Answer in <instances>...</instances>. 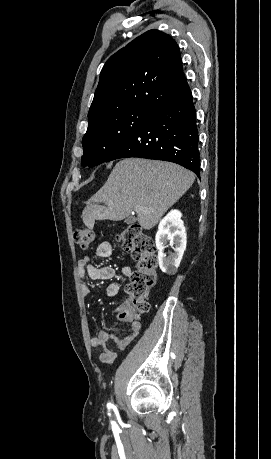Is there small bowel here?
I'll return each instance as SVG.
<instances>
[{
	"label": "small bowel",
	"mask_w": 271,
	"mask_h": 459,
	"mask_svg": "<svg viewBox=\"0 0 271 459\" xmlns=\"http://www.w3.org/2000/svg\"><path fill=\"white\" fill-rule=\"evenodd\" d=\"M95 255L98 258L106 259L112 255V246L109 242L103 241L98 244L95 250ZM78 272L81 278H88L91 280H112L116 271L109 266H95L92 264V257L90 255H83L78 261ZM121 272L124 276L131 278L133 272L130 267H123ZM120 285L117 282H112L106 289V294L109 297H114L119 293ZM90 288L86 284L82 285V294L86 297L90 295ZM121 307L116 310L117 316L121 321L130 323L128 333L122 337L117 338L107 332H100L97 336L91 339V346L94 350L99 352V360L107 365H112L117 358L114 351L107 347V341L113 339L116 349L124 350L140 333L141 324L124 318L121 315Z\"/></svg>",
	"instance_id": "1"
}]
</instances>
